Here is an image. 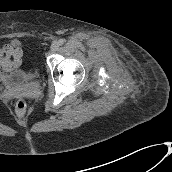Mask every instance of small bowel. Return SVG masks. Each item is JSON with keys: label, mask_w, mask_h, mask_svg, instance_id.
I'll list each match as a JSON object with an SVG mask.
<instances>
[{"label": "small bowel", "mask_w": 172, "mask_h": 172, "mask_svg": "<svg viewBox=\"0 0 172 172\" xmlns=\"http://www.w3.org/2000/svg\"><path fill=\"white\" fill-rule=\"evenodd\" d=\"M21 62L22 49L18 42L12 41L0 48V73H14Z\"/></svg>", "instance_id": "small-bowel-1"}]
</instances>
